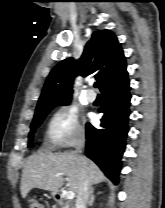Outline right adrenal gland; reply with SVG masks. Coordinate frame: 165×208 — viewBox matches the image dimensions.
Wrapping results in <instances>:
<instances>
[{"instance_id":"right-adrenal-gland-1","label":"right adrenal gland","mask_w":165,"mask_h":208,"mask_svg":"<svg viewBox=\"0 0 165 208\" xmlns=\"http://www.w3.org/2000/svg\"><path fill=\"white\" fill-rule=\"evenodd\" d=\"M98 194H102V192H99ZM94 201H95V195H94V188L92 187L90 189V199H89L88 205L92 206Z\"/></svg>"}]
</instances>
